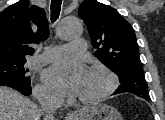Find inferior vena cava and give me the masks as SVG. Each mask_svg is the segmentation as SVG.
Returning <instances> with one entry per match:
<instances>
[{
  "label": "inferior vena cava",
  "mask_w": 165,
  "mask_h": 120,
  "mask_svg": "<svg viewBox=\"0 0 165 120\" xmlns=\"http://www.w3.org/2000/svg\"><path fill=\"white\" fill-rule=\"evenodd\" d=\"M36 97L41 105V113L44 115V120H54L53 115L62 103L61 96L42 91L37 93Z\"/></svg>",
  "instance_id": "inferior-vena-cava-1"
}]
</instances>
